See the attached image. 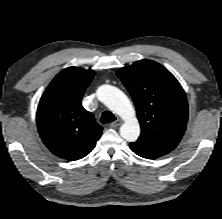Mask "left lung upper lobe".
<instances>
[{"label": "left lung upper lobe", "mask_w": 222, "mask_h": 219, "mask_svg": "<svg viewBox=\"0 0 222 219\" xmlns=\"http://www.w3.org/2000/svg\"><path fill=\"white\" fill-rule=\"evenodd\" d=\"M131 94L141 125L138 141L173 150L186 129L188 105L176 78L159 63L143 59L117 71Z\"/></svg>", "instance_id": "5c2ea615"}]
</instances>
